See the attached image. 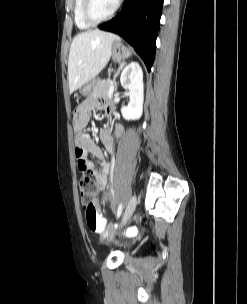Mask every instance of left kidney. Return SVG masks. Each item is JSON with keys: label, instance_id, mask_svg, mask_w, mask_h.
Here are the masks:
<instances>
[{"label": "left kidney", "instance_id": "obj_1", "mask_svg": "<svg viewBox=\"0 0 247 304\" xmlns=\"http://www.w3.org/2000/svg\"><path fill=\"white\" fill-rule=\"evenodd\" d=\"M121 85L129 90L130 101L121 108V113L126 120L139 119L143 112L144 84L143 71L136 61L129 63L120 76Z\"/></svg>", "mask_w": 247, "mask_h": 304}]
</instances>
